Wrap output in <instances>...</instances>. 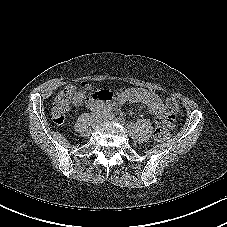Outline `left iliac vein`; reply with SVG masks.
I'll use <instances>...</instances> for the list:
<instances>
[{"instance_id":"1","label":"left iliac vein","mask_w":227,"mask_h":227,"mask_svg":"<svg viewBox=\"0 0 227 227\" xmlns=\"http://www.w3.org/2000/svg\"><path fill=\"white\" fill-rule=\"evenodd\" d=\"M111 120H114V121L118 122L119 124H121V125L125 126L124 121H122V120H121V119H119V118H116V119L111 118ZM127 132H128V134H129V135H131V134H132V132H131V130H130L129 128H127Z\"/></svg>"}]
</instances>
